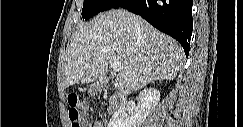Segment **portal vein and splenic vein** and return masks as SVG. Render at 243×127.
I'll return each instance as SVG.
<instances>
[{
    "instance_id": "portal-vein-and-splenic-vein-1",
    "label": "portal vein and splenic vein",
    "mask_w": 243,
    "mask_h": 127,
    "mask_svg": "<svg viewBox=\"0 0 243 127\" xmlns=\"http://www.w3.org/2000/svg\"><path fill=\"white\" fill-rule=\"evenodd\" d=\"M108 63L110 64L113 71H115V72L121 71L122 65L119 62L109 61Z\"/></svg>"
}]
</instances>
